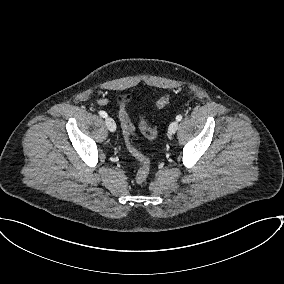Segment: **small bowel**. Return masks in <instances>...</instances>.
<instances>
[{
    "label": "small bowel",
    "instance_id": "small-bowel-1",
    "mask_svg": "<svg viewBox=\"0 0 284 284\" xmlns=\"http://www.w3.org/2000/svg\"><path fill=\"white\" fill-rule=\"evenodd\" d=\"M107 101H108V100H107V98H105V97H101V98L98 99V103L101 104V105L106 104Z\"/></svg>",
    "mask_w": 284,
    "mask_h": 284
}]
</instances>
